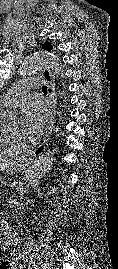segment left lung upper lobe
<instances>
[{
    "label": "left lung upper lobe",
    "mask_w": 118,
    "mask_h": 269,
    "mask_svg": "<svg viewBox=\"0 0 118 269\" xmlns=\"http://www.w3.org/2000/svg\"><path fill=\"white\" fill-rule=\"evenodd\" d=\"M42 48H43L44 50H48V51H50V50L53 49V47H52V45H51L50 42H45V43L42 45Z\"/></svg>",
    "instance_id": "obj_1"
}]
</instances>
